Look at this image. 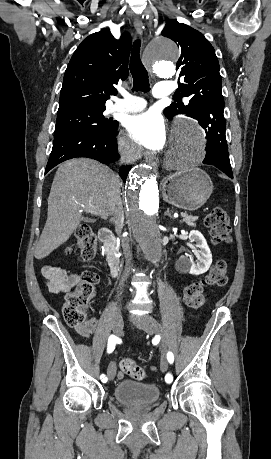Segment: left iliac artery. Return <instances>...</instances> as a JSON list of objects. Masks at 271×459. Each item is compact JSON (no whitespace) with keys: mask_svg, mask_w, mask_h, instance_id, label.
Here are the masks:
<instances>
[{"mask_svg":"<svg viewBox=\"0 0 271 459\" xmlns=\"http://www.w3.org/2000/svg\"><path fill=\"white\" fill-rule=\"evenodd\" d=\"M167 359H168V362H169V363H173V361H174V355H173L172 352H168V353H167ZM165 376H166V377H165V382H168V384H169V382H172V381H173V378H172V377H173V374H172L171 372H166V373H165Z\"/></svg>","mask_w":271,"mask_h":459,"instance_id":"left-iliac-artery-1","label":"left iliac artery"}]
</instances>
